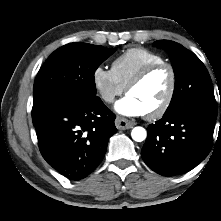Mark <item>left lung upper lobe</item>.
<instances>
[{
  "label": "left lung upper lobe",
  "instance_id": "left-lung-upper-lobe-1",
  "mask_svg": "<svg viewBox=\"0 0 221 221\" xmlns=\"http://www.w3.org/2000/svg\"><path fill=\"white\" fill-rule=\"evenodd\" d=\"M153 46L168 52L175 73V90L165 114L185 106H197L217 115L211 78L200 59L173 41L159 40Z\"/></svg>",
  "mask_w": 221,
  "mask_h": 221
}]
</instances>
